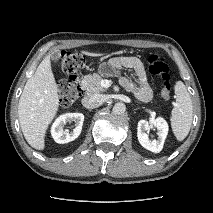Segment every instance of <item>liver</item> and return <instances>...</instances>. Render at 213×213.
<instances>
[{
    "label": "liver",
    "mask_w": 213,
    "mask_h": 213,
    "mask_svg": "<svg viewBox=\"0 0 213 213\" xmlns=\"http://www.w3.org/2000/svg\"><path fill=\"white\" fill-rule=\"evenodd\" d=\"M82 53L88 56L100 55L87 51ZM58 108V89L51 69L50 55H48L26 82L19 100V122L30 146L37 150L44 149L46 130L56 116Z\"/></svg>",
    "instance_id": "6515ba94"
}]
</instances>
